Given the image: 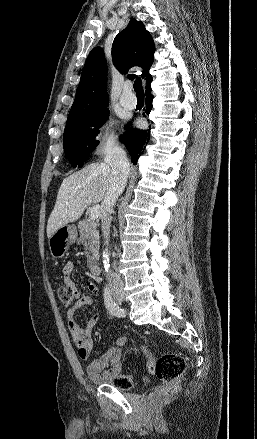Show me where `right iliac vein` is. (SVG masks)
<instances>
[{
  "label": "right iliac vein",
  "mask_w": 257,
  "mask_h": 439,
  "mask_svg": "<svg viewBox=\"0 0 257 439\" xmlns=\"http://www.w3.org/2000/svg\"><path fill=\"white\" fill-rule=\"evenodd\" d=\"M113 296L116 300H118L120 302L124 300V293L123 292H114Z\"/></svg>",
  "instance_id": "63e3f726"
}]
</instances>
